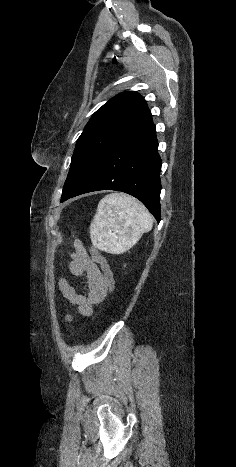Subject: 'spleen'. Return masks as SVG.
Listing matches in <instances>:
<instances>
[{"label": "spleen", "mask_w": 236, "mask_h": 467, "mask_svg": "<svg viewBox=\"0 0 236 467\" xmlns=\"http://www.w3.org/2000/svg\"><path fill=\"white\" fill-rule=\"evenodd\" d=\"M152 226V216L141 203L128 195L113 193L99 202L90 224V238L99 250L121 254L132 248Z\"/></svg>", "instance_id": "1"}]
</instances>
